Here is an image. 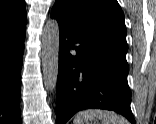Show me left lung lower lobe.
I'll return each mask as SVG.
<instances>
[{
  "label": "left lung lower lobe",
  "mask_w": 156,
  "mask_h": 124,
  "mask_svg": "<svg viewBox=\"0 0 156 124\" xmlns=\"http://www.w3.org/2000/svg\"><path fill=\"white\" fill-rule=\"evenodd\" d=\"M59 68L56 119L65 124L76 112L89 109L116 111L135 124L127 82V50L102 36L79 30L57 13Z\"/></svg>",
  "instance_id": "0a47b994"
}]
</instances>
